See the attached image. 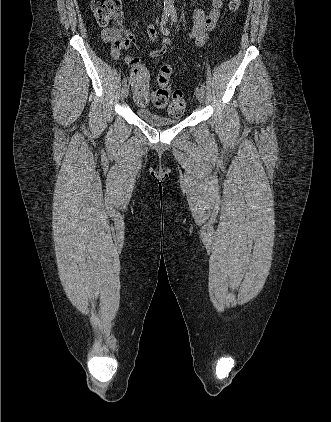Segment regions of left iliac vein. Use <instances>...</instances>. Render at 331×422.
I'll use <instances>...</instances> for the list:
<instances>
[{"label":"left iliac vein","mask_w":331,"mask_h":422,"mask_svg":"<svg viewBox=\"0 0 331 422\" xmlns=\"http://www.w3.org/2000/svg\"><path fill=\"white\" fill-rule=\"evenodd\" d=\"M196 98L200 103L204 101V91L201 88L196 89Z\"/></svg>","instance_id":"left-iliac-vein-1"}]
</instances>
